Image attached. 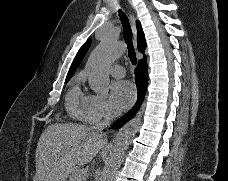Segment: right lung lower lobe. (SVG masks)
Instances as JSON below:
<instances>
[{
    "instance_id": "1",
    "label": "right lung lower lobe",
    "mask_w": 228,
    "mask_h": 181,
    "mask_svg": "<svg viewBox=\"0 0 228 181\" xmlns=\"http://www.w3.org/2000/svg\"><path fill=\"white\" fill-rule=\"evenodd\" d=\"M135 80H136V85L138 88V101L136 105L133 107V109L118 119L113 125V129H117L124 125L128 120H130L136 111L139 109L145 95V91L147 88V82H148V65H147V59L144 57V59L139 60L138 66L135 69Z\"/></svg>"
}]
</instances>
